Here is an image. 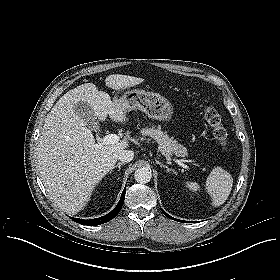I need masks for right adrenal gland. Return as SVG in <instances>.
<instances>
[{"label":"right adrenal gland","instance_id":"2a0ac1e0","mask_svg":"<svg viewBox=\"0 0 280 280\" xmlns=\"http://www.w3.org/2000/svg\"><path fill=\"white\" fill-rule=\"evenodd\" d=\"M123 162H119L117 165L113 166L112 169L117 168L118 167V171H120L121 166L123 165Z\"/></svg>","mask_w":280,"mask_h":280}]
</instances>
